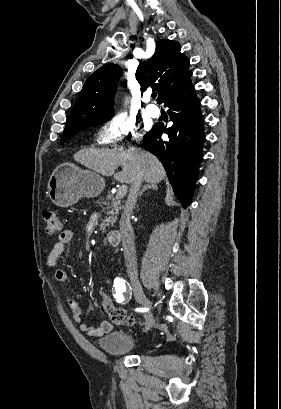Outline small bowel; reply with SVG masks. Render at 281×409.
<instances>
[{"label":"small bowel","mask_w":281,"mask_h":409,"mask_svg":"<svg viewBox=\"0 0 281 409\" xmlns=\"http://www.w3.org/2000/svg\"><path fill=\"white\" fill-rule=\"evenodd\" d=\"M72 238L73 233L71 230H64L60 233L48 256L47 262L50 267H55L57 265L59 258L65 252L66 245L71 242ZM55 278L62 284H66L69 281L68 273L63 269H57L55 271ZM106 283H110L109 278L106 279ZM96 293L100 299L101 306L104 312L109 316V320L102 321L97 327L89 326L84 323L82 310L78 300L74 296L67 297V305L73 321L78 324L79 331L81 333L87 334L91 337H100L109 334L113 332L115 328L120 324L112 319L113 313L118 310V308H116L112 298L109 296L107 288L99 287L97 288Z\"/></svg>","instance_id":"small-bowel-1"}]
</instances>
